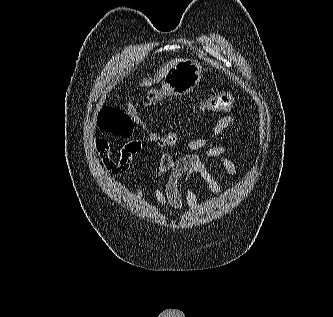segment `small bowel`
Masks as SVG:
<instances>
[{
  "label": "small bowel",
  "instance_id": "small-bowel-1",
  "mask_svg": "<svg viewBox=\"0 0 333 317\" xmlns=\"http://www.w3.org/2000/svg\"><path fill=\"white\" fill-rule=\"evenodd\" d=\"M237 122L235 115H226L219 118L206 136L191 139L187 142L189 154L174 158L170 153L161 154L155 178V198L161 208L170 207L176 211L183 209L186 204L194 209L197 204L196 193L191 185L194 176H199L206 183L210 191L220 196L221 187L209 168L204 164L198 151L206 149L207 158L217 162L230 176L237 177L236 165L226 156L230 148L226 145L215 144L226 129ZM104 167L112 174L121 175L127 172L132 164L133 157L141 152L142 142L138 139L128 140L119 150L117 156L112 155L111 147L103 138L94 142ZM167 174L166 183L162 184L163 176ZM184 188V193L181 192ZM137 196H142L139 186H136Z\"/></svg>",
  "mask_w": 333,
  "mask_h": 317
}]
</instances>
